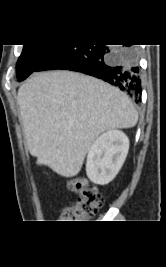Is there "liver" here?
I'll return each instance as SVG.
<instances>
[{"label":"liver","mask_w":166,"mask_h":267,"mask_svg":"<svg viewBox=\"0 0 166 267\" xmlns=\"http://www.w3.org/2000/svg\"><path fill=\"white\" fill-rule=\"evenodd\" d=\"M17 101L30 154L38 165L67 178L80 172L101 133L138 121L125 93L70 71L34 74L19 88Z\"/></svg>","instance_id":"6515ba94"}]
</instances>
